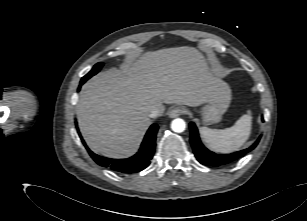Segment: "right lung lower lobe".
<instances>
[{"label": "right lung lower lobe", "mask_w": 307, "mask_h": 221, "mask_svg": "<svg viewBox=\"0 0 307 221\" xmlns=\"http://www.w3.org/2000/svg\"><path fill=\"white\" fill-rule=\"evenodd\" d=\"M83 83H84L83 80H81L80 86ZM157 131H158V125L153 124L147 131L138 153L128 159H110V158L101 157L93 153L86 146L80 133L79 132L78 133L90 156L97 164L103 167H108L109 169L114 170L116 172L135 173L145 169L150 164V160L152 159L155 150V140H156Z\"/></svg>", "instance_id": "98d812e1"}]
</instances>
